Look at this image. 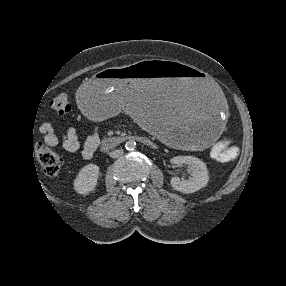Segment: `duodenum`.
Instances as JSON below:
<instances>
[{
    "mask_svg": "<svg viewBox=\"0 0 286 286\" xmlns=\"http://www.w3.org/2000/svg\"><path fill=\"white\" fill-rule=\"evenodd\" d=\"M129 140H135L141 143L146 142V139L144 137H141L138 135H123V136H114V137H108V138L103 139L100 142V147L103 150H109V149L118 147Z\"/></svg>",
    "mask_w": 286,
    "mask_h": 286,
    "instance_id": "410a0bca",
    "label": "duodenum"
}]
</instances>
